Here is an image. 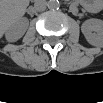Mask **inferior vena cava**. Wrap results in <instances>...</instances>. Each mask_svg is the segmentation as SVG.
<instances>
[{"mask_svg":"<svg viewBox=\"0 0 103 103\" xmlns=\"http://www.w3.org/2000/svg\"><path fill=\"white\" fill-rule=\"evenodd\" d=\"M47 2L45 0H36L34 3V8L37 11H44L46 9Z\"/></svg>","mask_w":103,"mask_h":103,"instance_id":"602c4592","label":"inferior vena cava"}]
</instances>
